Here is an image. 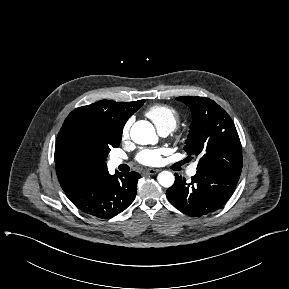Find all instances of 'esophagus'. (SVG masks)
<instances>
[{
    "label": "esophagus",
    "instance_id": "34e87169",
    "mask_svg": "<svg viewBox=\"0 0 289 289\" xmlns=\"http://www.w3.org/2000/svg\"><path fill=\"white\" fill-rule=\"evenodd\" d=\"M158 172H159V169H147L144 171V174L155 175Z\"/></svg>",
    "mask_w": 289,
    "mask_h": 289
}]
</instances>
